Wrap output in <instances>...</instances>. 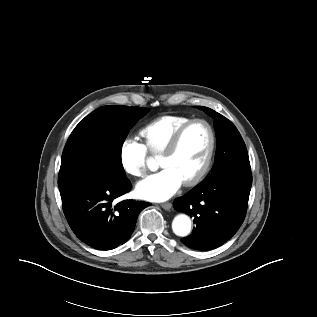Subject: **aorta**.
Here are the masks:
<instances>
[{
	"label": "aorta",
	"instance_id": "762f6f07",
	"mask_svg": "<svg viewBox=\"0 0 317 317\" xmlns=\"http://www.w3.org/2000/svg\"><path fill=\"white\" fill-rule=\"evenodd\" d=\"M173 232L180 237L188 236L191 232V220L186 214L177 215L172 222Z\"/></svg>",
	"mask_w": 317,
	"mask_h": 317
}]
</instances>
